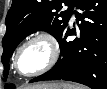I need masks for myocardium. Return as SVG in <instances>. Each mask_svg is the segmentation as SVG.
<instances>
[{
    "instance_id": "myocardium-1",
    "label": "myocardium",
    "mask_w": 107,
    "mask_h": 89,
    "mask_svg": "<svg viewBox=\"0 0 107 89\" xmlns=\"http://www.w3.org/2000/svg\"><path fill=\"white\" fill-rule=\"evenodd\" d=\"M36 40H43L48 44L50 48L49 61L46 63L44 67H42L41 69L35 72L28 73V74L22 73L18 66L19 55L26 45ZM59 55H60V47L57 39L49 32H46V31L36 32L30 35L28 38H26L17 48L13 58V67L16 70V72L23 77H35L50 70L58 61Z\"/></svg>"
}]
</instances>
